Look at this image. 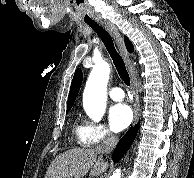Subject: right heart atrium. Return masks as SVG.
Returning <instances> with one entry per match:
<instances>
[{
    "instance_id": "obj_1",
    "label": "right heart atrium",
    "mask_w": 194,
    "mask_h": 178,
    "mask_svg": "<svg viewBox=\"0 0 194 178\" xmlns=\"http://www.w3.org/2000/svg\"><path fill=\"white\" fill-rule=\"evenodd\" d=\"M115 139L114 133L105 124L86 120L79 141L86 146H95Z\"/></svg>"
}]
</instances>
